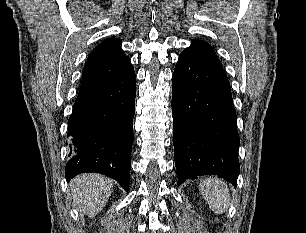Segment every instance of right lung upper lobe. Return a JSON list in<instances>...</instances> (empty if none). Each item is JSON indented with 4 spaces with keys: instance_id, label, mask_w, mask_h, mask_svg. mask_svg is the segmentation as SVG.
I'll return each instance as SVG.
<instances>
[{
    "instance_id": "right-lung-upper-lobe-1",
    "label": "right lung upper lobe",
    "mask_w": 306,
    "mask_h": 233,
    "mask_svg": "<svg viewBox=\"0 0 306 233\" xmlns=\"http://www.w3.org/2000/svg\"><path fill=\"white\" fill-rule=\"evenodd\" d=\"M121 43L120 39L108 38L91 52L82 72L79 94L115 82L132 67Z\"/></svg>"
}]
</instances>
